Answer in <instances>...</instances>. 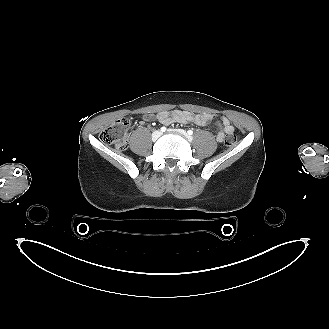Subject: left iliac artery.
I'll return each instance as SVG.
<instances>
[{
	"instance_id": "1",
	"label": "left iliac artery",
	"mask_w": 329,
	"mask_h": 329,
	"mask_svg": "<svg viewBox=\"0 0 329 329\" xmlns=\"http://www.w3.org/2000/svg\"><path fill=\"white\" fill-rule=\"evenodd\" d=\"M188 134L189 135H192L193 134V131L192 130H188Z\"/></svg>"
}]
</instances>
